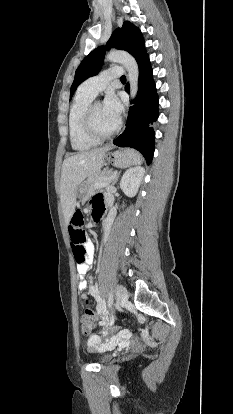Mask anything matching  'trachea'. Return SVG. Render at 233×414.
I'll return each mask as SVG.
<instances>
[{
  "instance_id": "obj_1",
  "label": "trachea",
  "mask_w": 233,
  "mask_h": 414,
  "mask_svg": "<svg viewBox=\"0 0 233 414\" xmlns=\"http://www.w3.org/2000/svg\"><path fill=\"white\" fill-rule=\"evenodd\" d=\"M120 80H121L122 82H125V81H126V77H125V76H122V77L120 78Z\"/></svg>"
}]
</instances>
